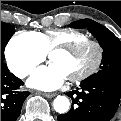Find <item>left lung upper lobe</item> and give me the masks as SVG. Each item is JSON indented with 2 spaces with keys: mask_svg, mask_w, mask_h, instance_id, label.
<instances>
[{
  "mask_svg": "<svg viewBox=\"0 0 121 121\" xmlns=\"http://www.w3.org/2000/svg\"><path fill=\"white\" fill-rule=\"evenodd\" d=\"M72 28H87L103 48L100 70L90 79H107L121 85V42L106 27L91 20L83 19L70 24Z\"/></svg>",
  "mask_w": 121,
  "mask_h": 121,
  "instance_id": "1",
  "label": "left lung upper lobe"
}]
</instances>
